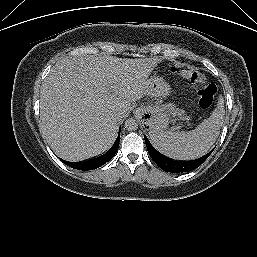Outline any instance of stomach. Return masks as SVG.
Returning a JSON list of instances; mask_svg holds the SVG:
<instances>
[{
	"label": "stomach",
	"mask_w": 257,
	"mask_h": 257,
	"mask_svg": "<svg viewBox=\"0 0 257 257\" xmlns=\"http://www.w3.org/2000/svg\"><path fill=\"white\" fill-rule=\"evenodd\" d=\"M170 93L171 87L162 77L153 76L147 80V95L166 97ZM136 114L143 119L150 131L163 130L170 121L169 114L160 107H139Z\"/></svg>",
	"instance_id": "obj_1"
}]
</instances>
